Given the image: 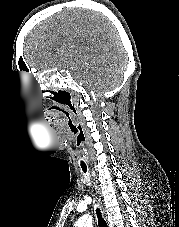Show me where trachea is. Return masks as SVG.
<instances>
[{
  "mask_svg": "<svg viewBox=\"0 0 179 227\" xmlns=\"http://www.w3.org/2000/svg\"><path fill=\"white\" fill-rule=\"evenodd\" d=\"M84 152L82 150H77L76 151V154H77V158L80 159L78 162L82 168V171L84 173L87 172V165H86V161L83 159L85 157V155L83 154ZM83 159V160H81ZM96 215H97V218H98V226L99 227H107V223L106 221L104 220V218L102 217V214H101V211L99 208L96 209Z\"/></svg>",
  "mask_w": 179,
  "mask_h": 227,
  "instance_id": "obj_1",
  "label": "trachea"
}]
</instances>
